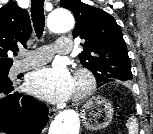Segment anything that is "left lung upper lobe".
I'll return each instance as SVG.
<instances>
[{"label":"left lung upper lobe","mask_w":153,"mask_h":134,"mask_svg":"<svg viewBox=\"0 0 153 134\" xmlns=\"http://www.w3.org/2000/svg\"><path fill=\"white\" fill-rule=\"evenodd\" d=\"M60 5L74 14L73 37L84 40L79 58L93 72L98 87L115 79L132 80L127 47L114 18L80 0H61Z\"/></svg>","instance_id":"5c2ea615"}]
</instances>
